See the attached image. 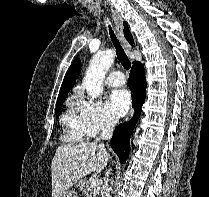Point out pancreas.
Returning a JSON list of instances; mask_svg holds the SVG:
<instances>
[{
  "instance_id": "pancreas-1",
  "label": "pancreas",
  "mask_w": 209,
  "mask_h": 197,
  "mask_svg": "<svg viewBox=\"0 0 209 197\" xmlns=\"http://www.w3.org/2000/svg\"><path fill=\"white\" fill-rule=\"evenodd\" d=\"M92 179V178H91ZM89 180H81L80 181V191L85 194V197H97L100 193V186H96L94 188L90 187V181Z\"/></svg>"
}]
</instances>
